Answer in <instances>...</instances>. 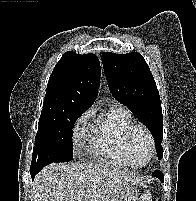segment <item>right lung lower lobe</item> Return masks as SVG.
I'll return each instance as SVG.
<instances>
[{
	"label": "right lung lower lobe",
	"mask_w": 196,
	"mask_h": 201,
	"mask_svg": "<svg viewBox=\"0 0 196 201\" xmlns=\"http://www.w3.org/2000/svg\"><path fill=\"white\" fill-rule=\"evenodd\" d=\"M38 173L37 170H31L30 171V174H31V177H32V180L34 179L35 175Z\"/></svg>",
	"instance_id": "1"
}]
</instances>
